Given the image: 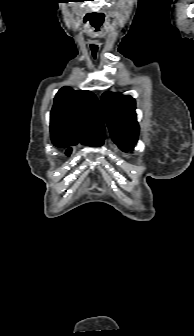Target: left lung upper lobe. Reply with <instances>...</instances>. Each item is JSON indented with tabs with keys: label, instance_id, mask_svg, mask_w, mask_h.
Returning a JSON list of instances; mask_svg holds the SVG:
<instances>
[{
	"label": "left lung upper lobe",
	"instance_id": "1",
	"mask_svg": "<svg viewBox=\"0 0 194 336\" xmlns=\"http://www.w3.org/2000/svg\"><path fill=\"white\" fill-rule=\"evenodd\" d=\"M101 105L113 140L125 151L133 148L139 133L135 100L121 93L105 92Z\"/></svg>",
	"mask_w": 194,
	"mask_h": 336
}]
</instances>
